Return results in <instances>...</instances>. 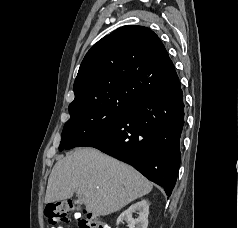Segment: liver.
<instances>
[{
  "label": "liver",
  "mask_w": 238,
  "mask_h": 228,
  "mask_svg": "<svg viewBox=\"0 0 238 228\" xmlns=\"http://www.w3.org/2000/svg\"><path fill=\"white\" fill-rule=\"evenodd\" d=\"M153 188L133 167L94 148H78L59 160L48 179L45 203L71 198L97 215L119 211Z\"/></svg>",
  "instance_id": "1"
}]
</instances>
